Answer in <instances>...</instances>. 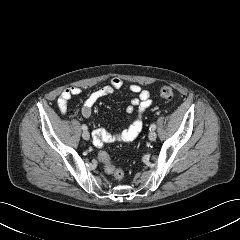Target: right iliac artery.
Listing matches in <instances>:
<instances>
[{
    "instance_id": "1",
    "label": "right iliac artery",
    "mask_w": 240,
    "mask_h": 240,
    "mask_svg": "<svg viewBox=\"0 0 240 240\" xmlns=\"http://www.w3.org/2000/svg\"><path fill=\"white\" fill-rule=\"evenodd\" d=\"M82 129H83V130H87L88 128H87L86 125H82Z\"/></svg>"
}]
</instances>
